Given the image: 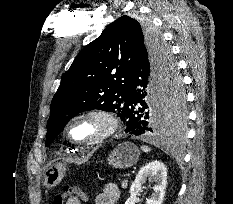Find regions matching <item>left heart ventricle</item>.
<instances>
[{
  "mask_svg": "<svg viewBox=\"0 0 233 204\" xmlns=\"http://www.w3.org/2000/svg\"><path fill=\"white\" fill-rule=\"evenodd\" d=\"M104 126L97 120H81L73 124L70 129L71 135L76 140L90 139L103 130Z\"/></svg>",
  "mask_w": 233,
  "mask_h": 204,
  "instance_id": "1",
  "label": "left heart ventricle"
}]
</instances>
